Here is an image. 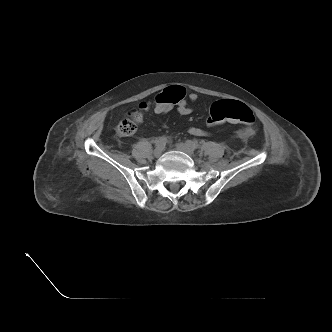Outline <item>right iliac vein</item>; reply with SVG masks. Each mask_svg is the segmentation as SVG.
Here are the masks:
<instances>
[{"label": "right iliac vein", "instance_id": "obj_1", "mask_svg": "<svg viewBox=\"0 0 332 332\" xmlns=\"http://www.w3.org/2000/svg\"><path fill=\"white\" fill-rule=\"evenodd\" d=\"M162 153H163V146H158L155 148V150H154L155 157H157V158L160 157L162 155Z\"/></svg>", "mask_w": 332, "mask_h": 332}]
</instances>
